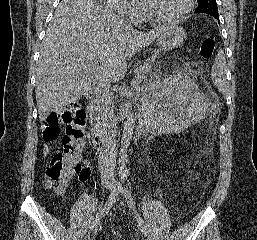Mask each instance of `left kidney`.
Here are the masks:
<instances>
[{
	"label": "left kidney",
	"mask_w": 257,
	"mask_h": 240,
	"mask_svg": "<svg viewBox=\"0 0 257 240\" xmlns=\"http://www.w3.org/2000/svg\"><path fill=\"white\" fill-rule=\"evenodd\" d=\"M204 98L185 75L152 84L148 92L149 118L162 133H180L204 116Z\"/></svg>",
	"instance_id": "obj_1"
}]
</instances>
